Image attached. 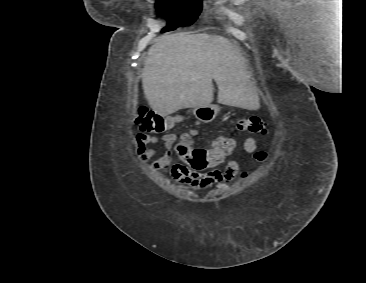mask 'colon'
<instances>
[{
  "instance_id": "5ec220e1",
  "label": "colon",
  "mask_w": 366,
  "mask_h": 283,
  "mask_svg": "<svg viewBox=\"0 0 366 283\" xmlns=\"http://www.w3.org/2000/svg\"><path fill=\"white\" fill-rule=\"evenodd\" d=\"M177 120L178 117H164L141 106L137 110L135 123L142 132L161 134L173 128ZM267 130V123L258 116L241 118L234 125L236 132L266 134ZM234 146L233 139L221 136L217 138L210 149L193 148L190 137L184 135L176 146V153L183 165L192 170L203 171L219 161L215 149L226 155L233 150ZM255 158L262 161L266 158V153L259 151L255 154Z\"/></svg>"
}]
</instances>
